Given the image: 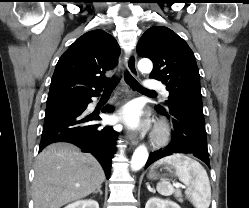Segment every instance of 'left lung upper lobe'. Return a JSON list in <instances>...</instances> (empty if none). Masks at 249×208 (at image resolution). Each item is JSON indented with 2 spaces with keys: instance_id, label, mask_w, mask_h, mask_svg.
I'll return each instance as SVG.
<instances>
[{
  "instance_id": "left-lung-upper-lobe-1",
  "label": "left lung upper lobe",
  "mask_w": 249,
  "mask_h": 208,
  "mask_svg": "<svg viewBox=\"0 0 249 208\" xmlns=\"http://www.w3.org/2000/svg\"><path fill=\"white\" fill-rule=\"evenodd\" d=\"M137 52L152 60L150 78L166 85L167 107L180 103L203 110L195 56L181 37L167 27H151L139 40ZM157 107L166 109L161 105Z\"/></svg>"
}]
</instances>
